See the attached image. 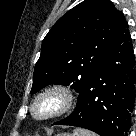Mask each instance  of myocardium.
<instances>
[{
    "label": "myocardium",
    "mask_w": 136,
    "mask_h": 136,
    "mask_svg": "<svg viewBox=\"0 0 136 136\" xmlns=\"http://www.w3.org/2000/svg\"><path fill=\"white\" fill-rule=\"evenodd\" d=\"M54 97L58 101L56 109L46 115H38L35 111L37 104L46 98ZM74 104L72 91L63 84H51L36 94L30 104L32 116L39 121L52 120L66 114Z\"/></svg>",
    "instance_id": "obj_1"
}]
</instances>
